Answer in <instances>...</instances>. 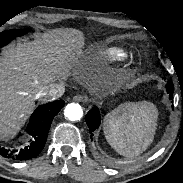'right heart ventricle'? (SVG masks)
<instances>
[{"label": "right heart ventricle", "instance_id": "e07e8e85", "mask_svg": "<svg viewBox=\"0 0 183 183\" xmlns=\"http://www.w3.org/2000/svg\"><path fill=\"white\" fill-rule=\"evenodd\" d=\"M118 56H119V57H122V56H123V54H118Z\"/></svg>", "mask_w": 183, "mask_h": 183}]
</instances>
